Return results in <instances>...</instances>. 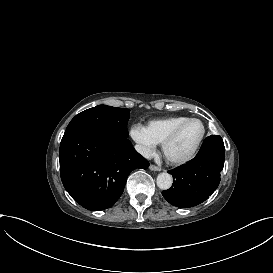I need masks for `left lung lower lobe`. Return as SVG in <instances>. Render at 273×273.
Wrapping results in <instances>:
<instances>
[{
    "instance_id": "left-lung-lower-lobe-1",
    "label": "left lung lower lobe",
    "mask_w": 273,
    "mask_h": 273,
    "mask_svg": "<svg viewBox=\"0 0 273 273\" xmlns=\"http://www.w3.org/2000/svg\"><path fill=\"white\" fill-rule=\"evenodd\" d=\"M224 157L225 147L221 136L210 135L194 159L172 170L173 184L170 189L162 191L163 197L180 208L204 202L220 183Z\"/></svg>"
}]
</instances>
